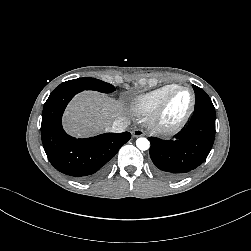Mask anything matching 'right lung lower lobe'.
Instances as JSON below:
<instances>
[{
  "mask_svg": "<svg viewBox=\"0 0 251 251\" xmlns=\"http://www.w3.org/2000/svg\"><path fill=\"white\" fill-rule=\"evenodd\" d=\"M77 93L59 91L50 94L42 114V143L50 163L58 171L79 180H93L106 173L109 161L131 134L105 133L85 139L67 135L61 124L62 114Z\"/></svg>",
  "mask_w": 251,
  "mask_h": 251,
  "instance_id": "right-lung-lower-lobe-1",
  "label": "right lung lower lobe"
}]
</instances>
